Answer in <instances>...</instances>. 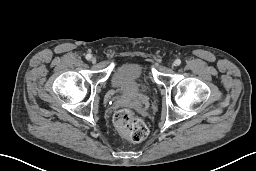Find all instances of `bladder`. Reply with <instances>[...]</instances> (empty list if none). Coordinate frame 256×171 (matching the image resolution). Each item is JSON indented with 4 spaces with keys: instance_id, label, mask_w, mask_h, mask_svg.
Instances as JSON below:
<instances>
[{
    "instance_id": "1",
    "label": "bladder",
    "mask_w": 256,
    "mask_h": 171,
    "mask_svg": "<svg viewBox=\"0 0 256 171\" xmlns=\"http://www.w3.org/2000/svg\"><path fill=\"white\" fill-rule=\"evenodd\" d=\"M112 86L119 93L143 97L150 89L143 68L137 63H126L117 66L112 74Z\"/></svg>"
}]
</instances>
